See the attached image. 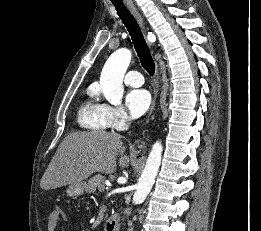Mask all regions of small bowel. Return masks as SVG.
<instances>
[{"label":"small bowel","mask_w":261,"mask_h":231,"mask_svg":"<svg viewBox=\"0 0 261 231\" xmlns=\"http://www.w3.org/2000/svg\"><path fill=\"white\" fill-rule=\"evenodd\" d=\"M65 220L66 216L63 211L57 207L50 212L47 218V229L48 231H55L58 227L59 220Z\"/></svg>","instance_id":"obj_1"}]
</instances>
